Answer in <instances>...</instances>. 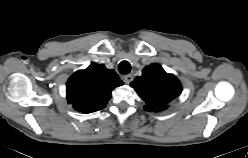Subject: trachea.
Instances as JSON below:
<instances>
[{"mask_svg": "<svg viewBox=\"0 0 248 158\" xmlns=\"http://www.w3.org/2000/svg\"><path fill=\"white\" fill-rule=\"evenodd\" d=\"M131 70V66H130V63L127 62V61H122L120 64H119V71L120 73L122 74H128Z\"/></svg>", "mask_w": 248, "mask_h": 158, "instance_id": "trachea-1", "label": "trachea"}]
</instances>
